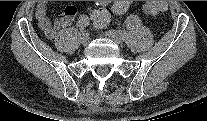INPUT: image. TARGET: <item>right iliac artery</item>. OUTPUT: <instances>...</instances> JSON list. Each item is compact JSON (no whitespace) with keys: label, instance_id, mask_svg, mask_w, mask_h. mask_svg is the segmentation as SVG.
<instances>
[{"label":"right iliac artery","instance_id":"1","mask_svg":"<svg viewBox=\"0 0 207 121\" xmlns=\"http://www.w3.org/2000/svg\"><path fill=\"white\" fill-rule=\"evenodd\" d=\"M89 24V18L86 15H82L78 20V26L82 33L85 32L86 27Z\"/></svg>","mask_w":207,"mask_h":121}]
</instances>
